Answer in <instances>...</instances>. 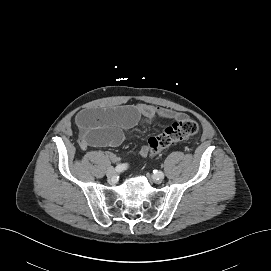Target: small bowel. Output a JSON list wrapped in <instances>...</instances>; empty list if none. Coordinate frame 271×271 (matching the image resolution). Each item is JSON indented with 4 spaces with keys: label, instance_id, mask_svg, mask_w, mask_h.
Listing matches in <instances>:
<instances>
[{
    "label": "small bowel",
    "instance_id": "obj_1",
    "mask_svg": "<svg viewBox=\"0 0 271 271\" xmlns=\"http://www.w3.org/2000/svg\"><path fill=\"white\" fill-rule=\"evenodd\" d=\"M185 117L183 113L149 104L83 110L76 116L80 130L79 145L84 150L89 147H115L124 141L125 131L135 126L142 118L180 120ZM148 154V146L139 151L140 157H146ZM109 157L113 161L118 160L114 154H109Z\"/></svg>",
    "mask_w": 271,
    "mask_h": 271
}]
</instances>
